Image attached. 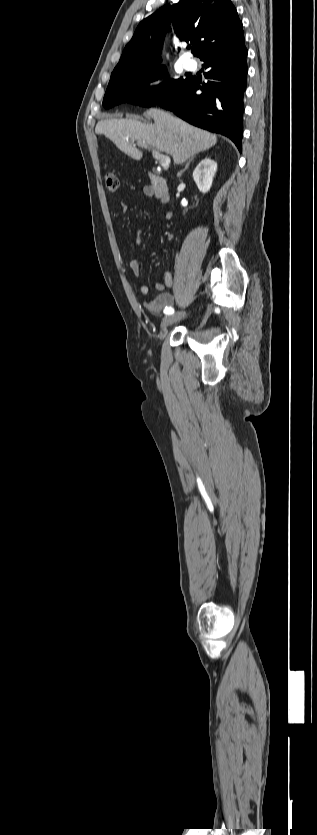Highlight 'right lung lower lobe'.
<instances>
[{
	"instance_id": "obj_1",
	"label": "right lung lower lobe",
	"mask_w": 317,
	"mask_h": 835,
	"mask_svg": "<svg viewBox=\"0 0 317 835\" xmlns=\"http://www.w3.org/2000/svg\"><path fill=\"white\" fill-rule=\"evenodd\" d=\"M247 54L244 37L207 50L199 58L209 69L204 73L208 82L191 78L157 105L190 124L229 137L241 152ZM197 90L202 93L197 95Z\"/></svg>"
}]
</instances>
